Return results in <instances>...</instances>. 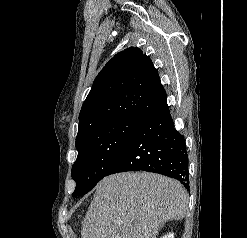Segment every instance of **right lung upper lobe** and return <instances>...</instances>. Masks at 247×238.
I'll return each instance as SVG.
<instances>
[{
  "instance_id": "right-lung-upper-lobe-1",
  "label": "right lung upper lobe",
  "mask_w": 247,
  "mask_h": 238,
  "mask_svg": "<svg viewBox=\"0 0 247 238\" xmlns=\"http://www.w3.org/2000/svg\"><path fill=\"white\" fill-rule=\"evenodd\" d=\"M166 106V92L151 59L138 48L125 49L96 77L79 114L76 139L115 119H146Z\"/></svg>"
}]
</instances>
